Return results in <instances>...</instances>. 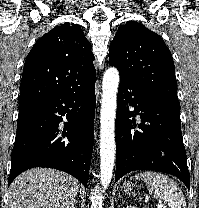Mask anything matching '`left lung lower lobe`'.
Instances as JSON below:
<instances>
[{
  "label": "left lung lower lobe",
  "instance_id": "1",
  "mask_svg": "<svg viewBox=\"0 0 199 208\" xmlns=\"http://www.w3.org/2000/svg\"><path fill=\"white\" fill-rule=\"evenodd\" d=\"M129 106L134 107V111H129ZM136 115L141 118L138 126ZM140 169L169 173L190 188L179 101L149 92L120 77L115 181Z\"/></svg>",
  "mask_w": 199,
  "mask_h": 208
}]
</instances>
